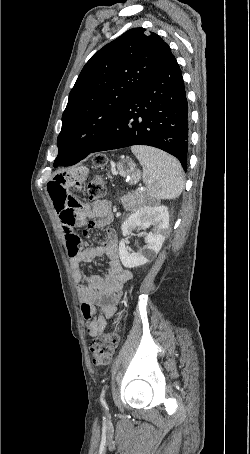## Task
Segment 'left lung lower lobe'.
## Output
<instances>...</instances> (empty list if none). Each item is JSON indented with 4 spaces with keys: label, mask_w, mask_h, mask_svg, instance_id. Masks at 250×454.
<instances>
[{
    "label": "left lung lower lobe",
    "mask_w": 250,
    "mask_h": 454,
    "mask_svg": "<svg viewBox=\"0 0 250 454\" xmlns=\"http://www.w3.org/2000/svg\"><path fill=\"white\" fill-rule=\"evenodd\" d=\"M132 145L164 150L187 170L188 106L181 70L173 55L127 102L90 153ZM85 157L62 156L54 167L74 165Z\"/></svg>",
    "instance_id": "left-lung-lower-lobe-1"
}]
</instances>
